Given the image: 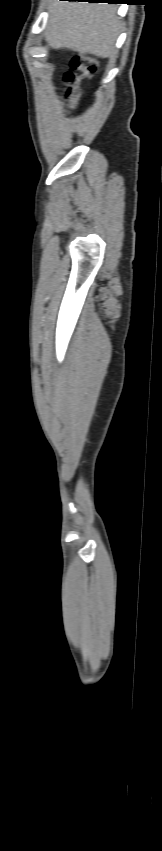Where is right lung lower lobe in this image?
<instances>
[{
  "instance_id": "obj_1",
  "label": "right lung lower lobe",
  "mask_w": 162,
  "mask_h": 851,
  "mask_svg": "<svg viewBox=\"0 0 162 851\" xmlns=\"http://www.w3.org/2000/svg\"><path fill=\"white\" fill-rule=\"evenodd\" d=\"M69 1H88V2H98V3H109V4H119L123 3L124 0H69Z\"/></svg>"
}]
</instances>
